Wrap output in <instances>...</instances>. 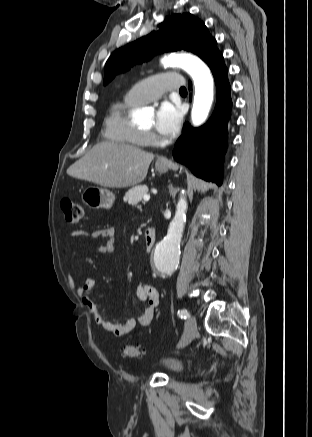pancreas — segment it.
Instances as JSON below:
<instances>
[{"instance_id":"pancreas-1","label":"pancreas","mask_w":312,"mask_h":437,"mask_svg":"<svg viewBox=\"0 0 312 437\" xmlns=\"http://www.w3.org/2000/svg\"><path fill=\"white\" fill-rule=\"evenodd\" d=\"M147 193L148 187L146 185L135 186L126 192L124 202H128L129 205H136Z\"/></svg>"}]
</instances>
